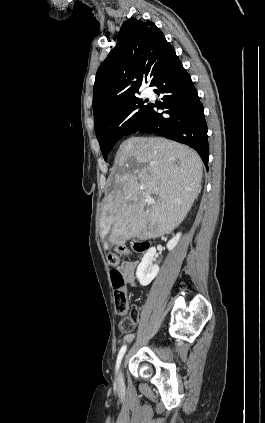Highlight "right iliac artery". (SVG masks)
<instances>
[{"label":"right iliac artery","instance_id":"82829eb1","mask_svg":"<svg viewBox=\"0 0 265 423\" xmlns=\"http://www.w3.org/2000/svg\"><path fill=\"white\" fill-rule=\"evenodd\" d=\"M127 346L124 345L122 346V348L120 349L119 353H118V357H117V362H116V371H118L121 360L126 352Z\"/></svg>","mask_w":265,"mask_h":423}]
</instances>
